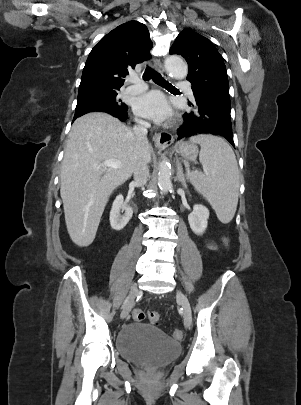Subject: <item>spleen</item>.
<instances>
[{
  "label": "spleen",
  "mask_w": 301,
  "mask_h": 405,
  "mask_svg": "<svg viewBox=\"0 0 301 405\" xmlns=\"http://www.w3.org/2000/svg\"><path fill=\"white\" fill-rule=\"evenodd\" d=\"M190 141L201 146L199 160L203 166V172H192L191 183L208 200L218 219L229 223L238 203L239 170L235 154L220 137L198 135Z\"/></svg>",
  "instance_id": "1"
}]
</instances>
